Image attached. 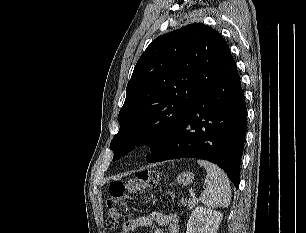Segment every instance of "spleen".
Returning <instances> with one entry per match:
<instances>
[{"label": "spleen", "instance_id": "1", "mask_svg": "<svg viewBox=\"0 0 306 233\" xmlns=\"http://www.w3.org/2000/svg\"><path fill=\"white\" fill-rule=\"evenodd\" d=\"M198 164L206 169L205 188L200 200L209 207L227 208L231 201V188L226 173L215 164L206 160H198Z\"/></svg>", "mask_w": 306, "mask_h": 233}]
</instances>
